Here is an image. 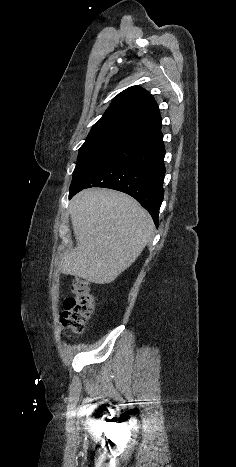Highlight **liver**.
<instances>
[{
    "mask_svg": "<svg viewBox=\"0 0 236 467\" xmlns=\"http://www.w3.org/2000/svg\"><path fill=\"white\" fill-rule=\"evenodd\" d=\"M76 247L60 259L59 270L95 284H108L129 268L149 242L154 223L131 196L91 188L70 201Z\"/></svg>",
    "mask_w": 236,
    "mask_h": 467,
    "instance_id": "liver-1",
    "label": "liver"
}]
</instances>
